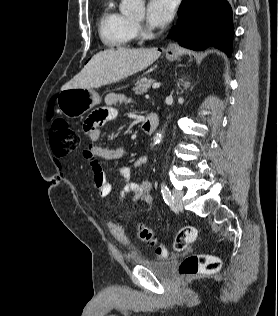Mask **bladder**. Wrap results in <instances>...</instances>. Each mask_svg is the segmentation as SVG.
Masks as SVG:
<instances>
[{
	"instance_id": "1",
	"label": "bladder",
	"mask_w": 278,
	"mask_h": 316,
	"mask_svg": "<svg viewBox=\"0 0 278 316\" xmlns=\"http://www.w3.org/2000/svg\"><path fill=\"white\" fill-rule=\"evenodd\" d=\"M132 263L137 266L148 269L158 277L168 278L175 269V263L172 260H151L145 258H133Z\"/></svg>"
}]
</instances>
